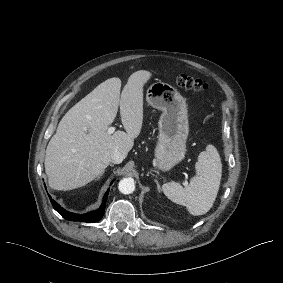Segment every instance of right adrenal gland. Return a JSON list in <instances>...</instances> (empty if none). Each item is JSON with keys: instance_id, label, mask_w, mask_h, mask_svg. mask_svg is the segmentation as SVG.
Segmentation results:
<instances>
[{"instance_id": "obj_1", "label": "right adrenal gland", "mask_w": 283, "mask_h": 283, "mask_svg": "<svg viewBox=\"0 0 283 283\" xmlns=\"http://www.w3.org/2000/svg\"><path fill=\"white\" fill-rule=\"evenodd\" d=\"M104 173H105V170L102 171V173L95 179V181L99 180L103 176Z\"/></svg>"}]
</instances>
